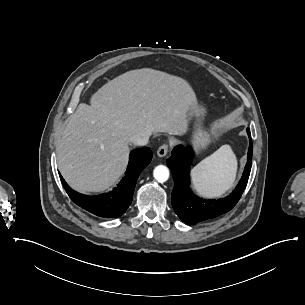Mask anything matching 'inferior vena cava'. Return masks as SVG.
I'll return each mask as SVG.
<instances>
[{
	"mask_svg": "<svg viewBox=\"0 0 305 305\" xmlns=\"http://www.w3.org/2000/svg\"><path fill=\"white\" fill-rule=\"evenodd\" d=\"M150 135L149 132H142L130 137V141L137 146H145L149 142Z\"/></svg>",
	"mask_w": 305,
	"mask_h": 305,
	"instance_id": "obj_1",
	"label": "inferior vena cava"
}]
</instances>
